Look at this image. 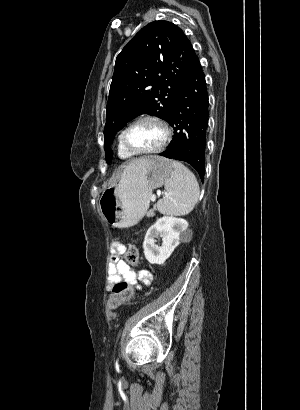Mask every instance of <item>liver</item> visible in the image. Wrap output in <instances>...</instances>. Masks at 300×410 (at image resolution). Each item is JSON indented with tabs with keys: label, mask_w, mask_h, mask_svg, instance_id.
Instances as JSON below:
<instances>
[{
	"label": "liver",
	"mask_w": 300,
	"mask_h": 410,
	"mask_svg": "<svg viewBox=\"0 0 300 410\" xmlns=\"http://www.w3.org/2000/svg\"><path fill=\"white\" fill-rule=\"evenodd\" d=\"M147 159L146 158H141V159H136L133 160L128 167H135L137 165H144L146 163Z\"/></svg>",
	"instance_id": "1"
}]
</instances>
